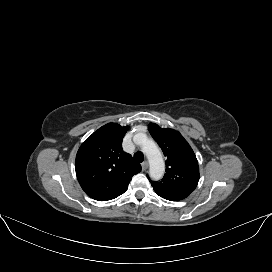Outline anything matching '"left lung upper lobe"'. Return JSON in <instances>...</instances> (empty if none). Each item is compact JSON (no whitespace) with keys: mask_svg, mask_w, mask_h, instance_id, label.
I'll return each instance as SVG.
<instances>
[{"mask_svg":"<svg viewBox=\"0 0 272 272\" xmlns=\"http://www.w3.org/2000/svg\"><path fill=\"white\" fill-rule=\"evenodd\" d=\"M150 134L161 147L166 160V173L159 182L151 181L154 191L162 197L179 201L189 196L199 181L196 156L183 138L173 129H162L155 123L148 125Z\"/></svg>","mask_w":272,"mask_h":272,"instance_id":"obj_1","label":"left lung upper lobe"}]
</instances>
